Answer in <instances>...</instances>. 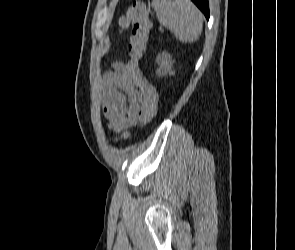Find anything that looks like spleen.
Returning <instances> with one entry per match:
<instances>
[{
  "instance_id": "spleen-1",
  "label": "spleen",
  "mask_w": 295,
  "mask_h": 250,
  "mask_svg": "<svg viewBox=\"0 0 295 250\" xmlns=\"http://www.w3.org/2000/svg\"><path fill=\"white\" fill-rule=\"evenodd\" d=\"M159 22L183 43H193L202 32L203 16L190 0H153Z\"/></svg>"
}]
</instances>
